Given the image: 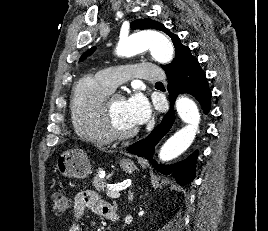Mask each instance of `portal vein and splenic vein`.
Here are the masks:
<instances>
[{"instance_id":"18ae733b","label":"portal vein and splenic vein","mask_w":268,"mask_h":231,"mask_svg":"<svg viewBox=\"0 0 268 231\" xmlns=\"http://www.w3.org/2000/svg\"><path fill=\"white\" fill-rule=\"evenodd\" d=\"M120 189L110 186L107 191V196L113 199L119 198L120 197Z\"/></svg>"}]
</instances>
